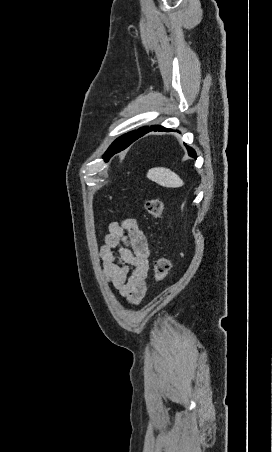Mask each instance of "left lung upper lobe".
Listing matches in <instances>:
<instances>
[{"label":"left lung upper lobe","instance_id":"1","mask_svg":"<svg viewBox=\"0 0 272 452\" xmlns=\"http://www.w3.org/2000/svg\"><path fill=\"white\" fill-rule=\"evenodd\" d=\"M144 128H146V127L140 128V129H138V130H135V131H132V132H129V133L123 135L122 137H123V139L125 140L124 144H126V142H127L128 140H130L132 136H134L135 134H137L138 132H140V131L143 130ZM124 140H123V141H124ZM121 143H122V142H121ZM109 148H110V147H109ZM108 154H109V149L105 152V154H104V156H103V158H104L105 160L107 159Z\"/></svg>","mask_w":272,"mask_h":452}]
</instances>
